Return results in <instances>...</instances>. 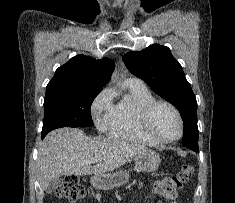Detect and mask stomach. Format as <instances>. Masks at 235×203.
<instances>
[{
	"instance_id": "stomach-1",
	"label": "stomach",
	"mask_w": 235,
	"mask_h": 203,
	"mask_svg": "<svg viewBox=\"0 0 235 203\" xmlns=\"http://www.w3.org/2000/svg\"><path fill=\"white\" fill-rule=\"evenodd\" d=\"M160 164V156L154 150L145 149L135 155L136 168L141 172H153ZM129 180L126 170H118L113 173L98 174L91 178V184L100 190H110L124 185Z\"/></svg>"
}]
</instances>
